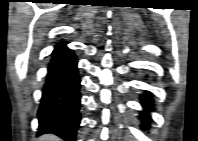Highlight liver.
I'll return each instance as SVG.
<instances>
[{"label": "liver", "instance_id": "1", "mask_svg": "<svg viewBox=\"0 0 198 141\" xmlns=\"http://www.w3.org/2000/svg\"><path fill=\"white\" fill-rule=\"evenodd\" d=\"M39 139L40 141H60L58 137L51 135V134L43 135Z\"/></svg>", "mask_w": 198, "mask_h": 141}]
</instances>
